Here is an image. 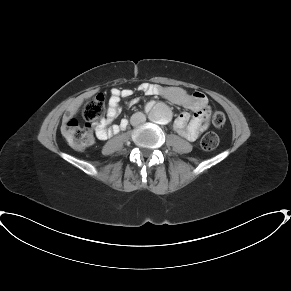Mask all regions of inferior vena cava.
<instances>
[{
    "label": "inferior vena cava",
    "mask_w": 291,
    "mask_h": 291,
    "mask_svg": "<svg viewBox=\"0 0 291 291\" xmlns=\"http://www.w3.org/2000/svg\"><path fill=\"white\" fill-rule=\"evenodd\" d=\"M146 121V116L142 112H136L131 116L130 123L132 126H138Z\"/></svg>",
    "instance_id": "1"
}]
</instances>
